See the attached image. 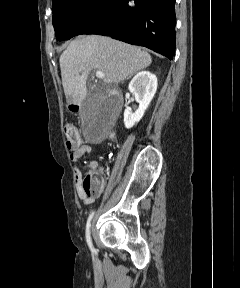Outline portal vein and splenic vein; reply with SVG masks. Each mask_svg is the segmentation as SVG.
<instances>
[{"label":"portal vein and splenic vein","mask_w":240,"mask_h":288,"mask_svg":"<svg viewBox=\"0 0 240 288\" xmlns=\"http://www.w3.org/2000/svg\"><path fill=\"white\" fill-rule=\"evenodd\" d=\"M96 77L99 79H104L105 75L102 71H96Z\"/></svg>","instance_id":"18ae733b"}]
</instances>
